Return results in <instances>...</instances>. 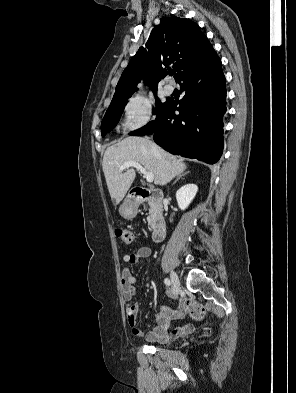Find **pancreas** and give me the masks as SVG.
I'll list each match as a JSON object with an SVG mask.
<instances>
[{"label": "pancreas", "instance_id": "pancreas-1", "mask_svg": "<svg viewBox=\"0 0 296 393\" xmlns=\"http://www.w3.org/2000/svg\"><path fill=\"white\" fill-rule=\"evenodd\" d=\"M150 205V209H149V215L147 216V221H148V224H149V226H151L152 225V220H153V213H154V211H153V206H152V204H149Z\"/></svg>", "mask_w": 296, "mask_h": 393}]
</instances>
